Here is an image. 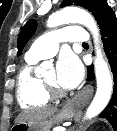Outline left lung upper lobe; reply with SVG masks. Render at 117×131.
<instances>
[{"mask_svg": "<svg viewBox=\"0 0 117 131\" xmlns=\"http://www.w3.org/2000/svg\"><path fill=\"white\" fill-rule=\"evenodd\" d=\"M70 5H77L88 9L93 14V16L97 19L100 12L107 5V1L106 0H64L61 3L60 7L62 8ZM36 27H37L36 21L34 19H31L22 28L18 36V52H17L18 56L21 54L29 38L35 32Z\"/></svg>", "mask_w": 117, "mask_h": 131, "instance_id": "left-lung-upper-lobe-1", "label": "left lung upper lobe"}]
</instances>
